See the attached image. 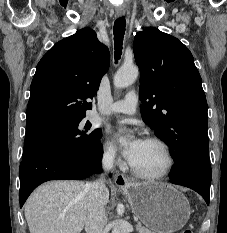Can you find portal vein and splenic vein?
Wrapping results in <instances>:
<instances>
[{
    "label": "portal vein and splenic vein",
    "mask_w": 227,
    "mask_h": 233,
    "mask_svg": "<svg viewBox=\"0 0 227 233\" xmlns=\"http://www.w3.org/2000/svg\"><path fill=\"white\" fill-rule=\"evenodd\" d=\"M71 219H72V220H74V219H75V217H71Z\"/></svg>",
    "instance_id": "portal-vein-and-splenic-vein-1"
}]
</instances>
